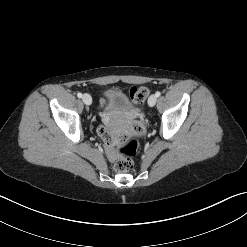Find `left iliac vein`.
I'll use <instances>...</instances> for the list:
<instances>
[{
	"instance_id": "4c4485c4",
	"label": "left iliac vein",
	"mask_w": 247,
	"mask_h": 247,
	"mask_svg": "<svg viewBox=\"0 0 247 247\" xmlns=\"http://www.w3.org/2000/svg\"><path fill=\"white\" fill-rule=\"evenodd\" d=\"M157 101V97L156 95L152 94L149 98H148V104L149 106L153 107L156 104Z\"/></svg>"
}]
</instances>
